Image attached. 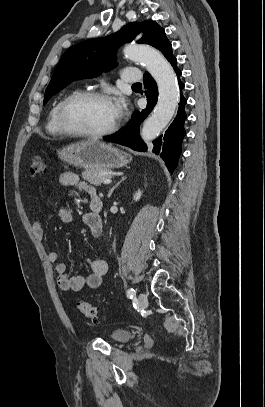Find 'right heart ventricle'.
<instances>
[{
    "label": "right heart ventricle",
    "instance_id": "1",
    "mask_svg": "<svg viewBox=\"0 0 265 407\" xmlns=\"http://www.w3.org/2000/svg\"><path fill=\"white\" fill-rule=\"evenodd\" d=\"M66 97H62L59 99L51 108L48 116V120L46 123V130L55 136H65L66 134L61 130L59 123H58V111L62 101Z\"/></svg>",
    "mask_w": 265,
    "mask_h": 407
}]
</instances>
